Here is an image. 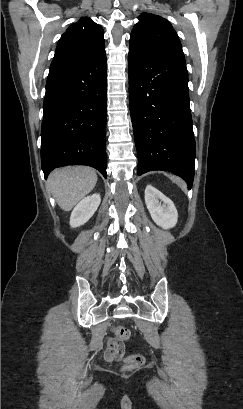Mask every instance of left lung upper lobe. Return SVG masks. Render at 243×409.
<instances>
[{"mask_svg":"<svg viewBox=\"0 0 243 409\" xmlns=\"http://www.w3.org/2000/svg\"><path fill=\"white\" fill-rule=\"evenodd\" d=\"M130 36L129 53L149 57L166 51H182L177 33L166 19L142 13Z\"/></svg>","mask_w":243,"mask_h":409,"instance_id":"1","label":"left lung upper lobe"}]
</instances>
